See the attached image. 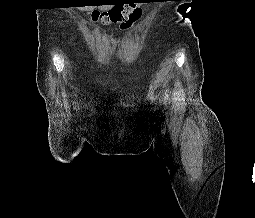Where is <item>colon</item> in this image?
I'll return each instance as SVG.
<instances>
[{
    "mask_svg": "<svg viewBox=\"0 0 255 218\" xmlns=\"http://www.w3.org/2000/svg\"><path fill=\"white\" fill-rule=\"evenodd\" d=\"M142 11L135 0H129L122 5H117L106 12L93 10L90 17L93 21L105 24H119L121 28L131 26L141 17Z\"/></svg>",
    "mask_w": 255,
    "mask_h": 218,
    "instance_id": "colon-1",
    "label": "colon"
}]
</instances>
